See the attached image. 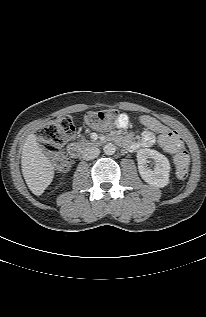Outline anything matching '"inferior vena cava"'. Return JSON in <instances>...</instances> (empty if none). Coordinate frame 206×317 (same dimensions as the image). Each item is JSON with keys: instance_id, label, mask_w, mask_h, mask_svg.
Returning a JSON list of instances; mask_svg holds the SVG:
<instances>
[{"instance_id": "obj_1", "label": "inferior vena cava", "mask_w": 206, "mask_h": 317, "mask_svg": "<svg viewBox=\"0 0 206 317\" xmlns=\"http://www.w3.org/2000/svg\"><path fill=\"white\" fill-rule=\"evenodd\" d=\"M100 154V150L94 146H88L82 151V158L84 160H91Z\"/></svg>"}]
</instances>
